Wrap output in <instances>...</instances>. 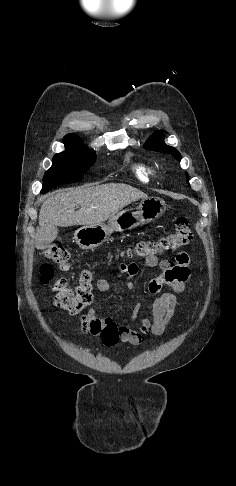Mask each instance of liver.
<instances>
[{
    "mask_svg": "<svg viewBox=\"0 0 236 486\" xmlns=\"http://www.w3.org/2000/svg\"><path fill=\"white\" fill-rule=\"evenodd\" d=\"M147 198L144 192L119 183L58 191L50 195L41 206L38 233L48 225L69 227L100 224L131 202ZM77 206L80 209L75 211Z\"/></svg>",
    "mask_w": 236,
    "mask_h": 486,
    "instance_id": "liver-1",
    "label": "liver"
}]
</instances>
